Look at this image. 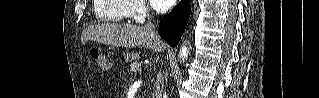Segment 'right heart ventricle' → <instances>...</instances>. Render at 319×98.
Here are the masks:
<instances>
[{"label":"right heart ventricle","instance_id":"e07e8e85","mask_svg":"<svg viewBox=\"0 0 319 98\" xmlns=\"http://www.w3.org/2000/svg\"><path fill=\"white\" fill-rule=\"evenodd\" d=\"M133 4L127 0H96L94 12L103 22H118L131 15Z\"/></svg>","mask_w":319,"mask_h":98}]
</instances>
